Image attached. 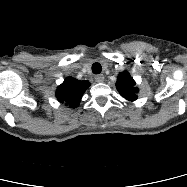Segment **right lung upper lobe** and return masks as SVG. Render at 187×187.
Wrapping results in <instances>:
<instances>
[{"instance_id": "cb5924a9", "label": "right lung upper lobe", "mask_w": 187, "mask_h": 187, "mask_svg": "<svg viewBox=\"0 0 187 187\" xmlns=\"http://www.w3.org/2000/svg\"><path fill=\"white\" fill-rule=\"evenodd\" d=\"M90 86L88 81H79L73 77H68L57 88V99L71 108H76L86 89Z\"/></svg>"}]
</instances>
